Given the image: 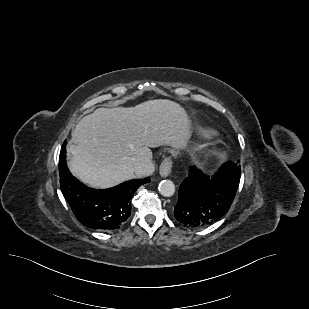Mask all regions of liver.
<instances>
[{
    "instance_id": "obj_1",
    "label": "liver",
    "mask_w": 309,
    "mask_h": 309,
    "mask_svg": "<svg viewBox=\"0 0 309 309\" xmlns=\"http://www.w3.org/2000/svg\"><path fill=\"white\" fill-rule=\"evenodd\" d=\"M186 111L157 99L130 108H98L83 117L72 134L69 169L94 188L113 187L154 172L150 148L183 147L189 131ZM134 159L143 165L134 171Z\"/></svg>"
}]
</instances>
